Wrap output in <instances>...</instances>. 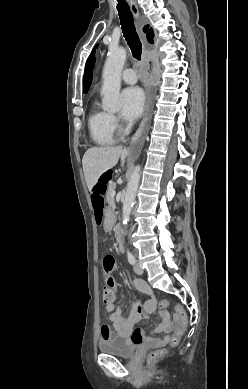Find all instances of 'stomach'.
Wrapping results in <instances>:
<instances>
[{
	"instance_id": "0dacf381",
	"label": "stomach",
	"mask_w": 248,
	"mask_h": 389,
	"mask_svg": "<svg viewBox=\"0 0 248 389\" xmlns=\"http://www.w3.org/2000/svg\"><path fill=\"white\" fill-rule=\"evenodd\" d=\"M105 213H106V220H105V230L104 233L106 235H111L112 232L114 231V225L116 224V218L117 215L116 213H113V208L112 207H106L105 208Z\"/></svg>"
}]
</instances>
